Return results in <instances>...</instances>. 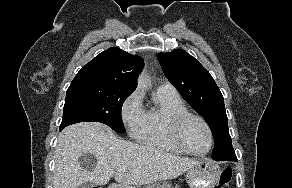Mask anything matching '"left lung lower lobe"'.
<instances>
[{
    "mask_svg": "<svg viewBox=\"0 0 292 188\" xmlns=\"http://www.w3.org/2000/svg\"><path fill=\"white\" fill-rule=\"evenodd\" d=\"M225 159L224 160H232V161H237V158H236V155L235 153L233 154H230V156H226L224 157Z\"/></svg>",
    "mask_w": 292,
    "mask_h": 188,
    "instance_id": "1",
    "label": "left lung lower lobe"
}]
</instances>
